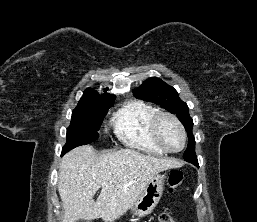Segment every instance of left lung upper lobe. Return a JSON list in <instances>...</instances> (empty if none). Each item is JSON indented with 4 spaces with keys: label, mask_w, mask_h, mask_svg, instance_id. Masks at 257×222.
I'll return each instance as SVG.
<instances>
[{
    "label": "left lung upper lobe",
    "mask_w": 257,
    "mask_h": 222,
    "mask_svg": "<svg viewBox=\"0 0 257 222\" xmlns=\"http://www.w3.org/2000/svg\"><path fill=\"white\" fill-rule=\"evenodd\" d=\"M133 95L138 99L156 103L170 113L177 115L189 138L183 158L187 162L198 163L195 153V139L192 134L193 120L189 115L187 104L179 98L177 91L161 79L153 77L135 89Z\"/></svg>",
    "instance_id": "5c2ea615"
}]
</instances>
